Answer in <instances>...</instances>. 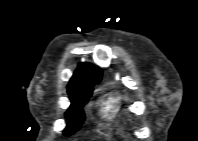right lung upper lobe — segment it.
<instances>
[{
	"label": "right lung upper lobe",
	"mask_w": 198,
	"mask_h": 141,
	"mask_svg": "<svg viewBox=\"0 0 198 141\" xmlns=\"http://www.w3.org/2000/svg\"><path fill=\"white\" fill-rule=\"evenodd\" d=\"M101 76L102 70L97 66L89 63H81L70 79L68 88L97 84L100 82Z\"/></svg>",
	"instance_id": "obj_1"
}]
</instances>
